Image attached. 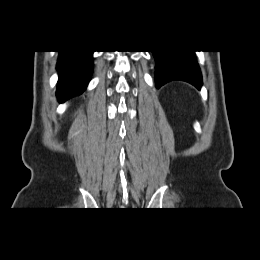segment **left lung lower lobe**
I'll use <instances>...</instances> for the list:
<instances>
[{"mask_svg":"<svg viewBox=\"0 0 260 260\" xmlns=\"http://www.w3.org/2000/svg\"><path fill=\"white\" fill-rule=\"evenodd\" d=\"M156 60V86L173 80L186 81L196 88L202 86V75L193 50L152 51Z\"/></svg>","mask_w":260,"mask_h":260,"instance_id":"0a47b994","label":"left lung lower lobe"}]
</instances>
